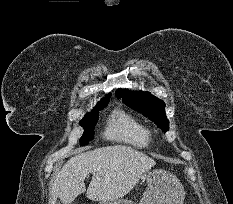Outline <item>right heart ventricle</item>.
<instances>
[{
	"label": "right heart ventricle",
	"mask_w": 233,
	"mask_h": 204,
	"mask_svg": "<svg viewBox=\"0 0 233 204\" xmlns=\"http://www.w3.org/2000/svg\"><path fill=\"white\" fill-rule=\"evenodd\" d=\"M104 135L107 139L144 149L152 142L150 130L136 117L124 110L113 111L106 124Z\"/></svg>",
	"instance_id": "obj_1"
}]
</instances>
